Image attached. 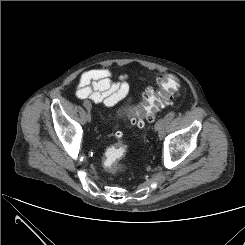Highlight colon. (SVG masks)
<instances>
[{"label":"colon","mask_w":245,"mask_h":245,"mask_svg":"<svg viewBox=\"0 0 245 245\" xmlns=\"http://www.w3.org/2000/svg\"><path fill=\"white\" fill-rule=\"evenodd\" d=\"M178 87L179 83L174 75L168 74L158 78L155 87L144 90L141 102L130 118L131 124L141 128L144 126V120L153 121L159 107L172 99ZM116 137L120 138V133H117ZM125 154V144L118 142L104 153L102 158L103 166L110 172H118L120 170L118 162Z\"/></svg>","instance_id":"obj_1"}]
</instances>
